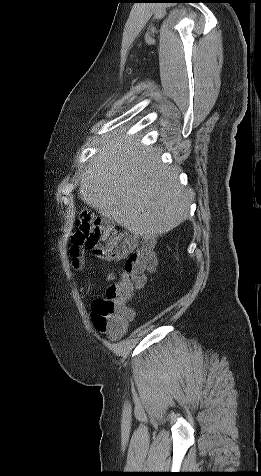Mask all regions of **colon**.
<instances>
[{
    "mask_svg": "<svg viewBox=\"0 0 261 476\" xmlns=\"http://www.w3.org/2000/svg\"><path fill=\"white\" fill-rule=\"evenodd\" d=\"M153 247L152 240L136 241L118 232L108 220L82 212L70 249L74 266H80L84 250L102 260L125 261L122 280L107 286L92 304V322L100 333L117 338L126 331L134 317L130 306L133 291L143 287L146 274L156 269Z\"/></svg>",
    "mask_w": 261,
    "mask_h": 476,
    "instance_id": "1",
    "label": "colon"
}]
</instances>
